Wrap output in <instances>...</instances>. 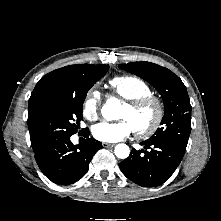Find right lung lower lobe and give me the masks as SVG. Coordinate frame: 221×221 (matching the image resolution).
<instances>
[{"mask_svg":"<svg viewBox=\"0 0 221 221\" xmlns=\"http://www.w3.org/2000/svg\"><path fill=\"white\" fill-rule=\"evenodd\" d=\"M82 133L89 135L87 129ZM101 146V142L93 138L73 145L69 136L34 150V154L39 168L49 180L59 185H69L88 172L89 163Z\"/></svg>","mask_w":221,"mask_h":221,"instance_id":"right-lung-lower-lobe-1","label":"right lung lower lobe"}]
</instances>
